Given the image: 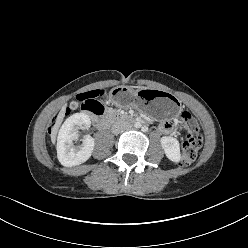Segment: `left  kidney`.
<instances>
[{
	"instance_id": "obj_1",
	"label": "left kidney",
	"mask_w": 248,
	"mask_h": 248,
	"mask_svg": "<svg viewBox=\"0 0 248 248\" xmlns=\"http://www.w3.org/2000/svg\"><path fill=\"white\" fill-rule=\"evenodd\" d=\"M160 142L167 158L173 162H179L181 159L179 141L176 138L164 136Z\"/></svg>"
}]
</instances>
